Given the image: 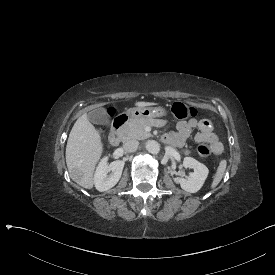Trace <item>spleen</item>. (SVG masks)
Wrapping results in <instances>:
<instances>
[{"instance_id": "3e777b00", "label": "spleen", "mask_w": 275, "mask_h": 275, "mask_svg": "<svg viewBox=\"0 0 275 275\" xmlns=\"http://www.w3.org/2000/svg\"><path fill=\"white\" fill-rule=\"evenodd\" d=\"M226 167H227V160L222 159L216 169V172H215L212 182L210 184L211 190L215 189L218 186V184L221 182V180L225 174Z\"/></svg>"}]
</instances>
